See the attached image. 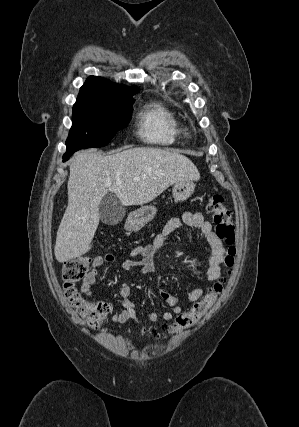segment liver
Segmentation results:
<instances>
[{"mask_svg": "<svg viewBox=\"0 0 299 427\" xmlns=\"http://www.w3.org/2000/svg\"><path fill=\"white\" fill-rule=\"evenodd\" d=\"M199 178L197 167L179 152L140 147L109 156L96 150L75 153L67 183L68 206L54 247L56 260L64 263L91 249L99 225V204L108 192L123 206L142 205L176 182ZM107 181L110 186L105 185Z\"/></svg>", "mask_w": 299, "mask_h": 427, "instance_id": "liver-1", "label": "liver"}]
</instances>
